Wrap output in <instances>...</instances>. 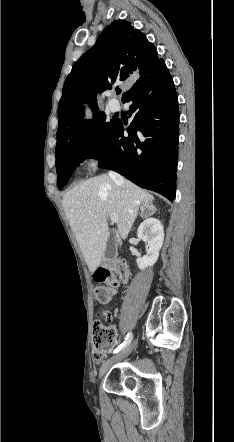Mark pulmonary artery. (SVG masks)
Listing matches in <instances>:
<instances>
[{"label":"pulmonary artery","mask_w":234,"mask_h":442,"mask_svg":"<svg viewBox=\"0 0 234 442\" xmlns=\"http://www.w3.org/2000/svg\"><path fill=\"white\" fill-rule=\"evenodd\" d=\"M108 107L112 112H117L120 109V104L116 99L111 98L108 102Z\"/></svg>","instance_id":"e3ab8cb5"}]
</instances>
